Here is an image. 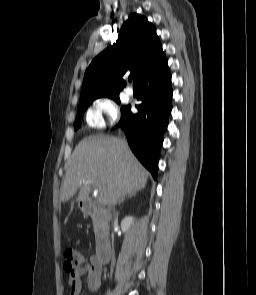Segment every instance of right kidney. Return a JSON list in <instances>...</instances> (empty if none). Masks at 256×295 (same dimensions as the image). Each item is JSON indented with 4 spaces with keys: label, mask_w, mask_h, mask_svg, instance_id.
<instances>
[{
    "label": "right kidney",
    "mask_w": 256,
    "mask_h": 295,
    "mask_svg": "<svg viewBox=\"0 0 256 295\" xmlns=\"http://www.w3.org/2000/svg\"><path fill=\"white\" fill-rule=\"evenodd\" d=\"M133 223V217L132 216H126L122 222H121V229L123 231V233H126L130 226L132 225Z\"/></svg>",
    "instance_id": "obj_1"
}]
</instances>
